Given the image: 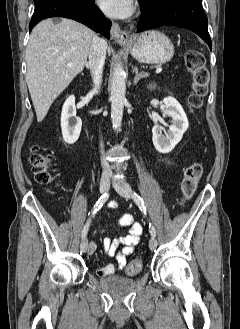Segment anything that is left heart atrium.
<instances>
[{
    "instance_id": "left-heart-atrium-1",
    "label": "left heart atrium",
    "mask_w": 240,
    "mask_h": 329,
    "mask_svg": "<svg viewBox=\"0 0 240 329\" xmlns=\"http://www.w3.org/2000/svg\"><path fill=\"white\" fill-rule=\"evenodd\" d=\"M102 11L113 18H125L132 13V0H98Z\"/></svg>"
}]
</instances>
